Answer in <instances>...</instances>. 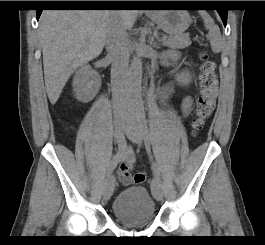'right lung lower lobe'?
Instances as JSON below:
<instances>
[{"instance_id":"obj_1","label":"right lung lower lobe","mask_w":265,"mask_h":245,"mask_svg":"<svg viewBox=\"0 0 265 245\" xmlns=\"http://www.w3.org/2000/svg\"><path fill=\"white\" fill-rule=\"evenodd\" d=\"M50 6H62V7H119L124 6L122 1H80L79 3H52ZM42 9H37V20L41 15Z\"/></svg>"}]
</instances>
